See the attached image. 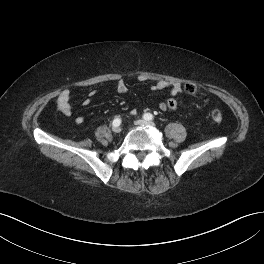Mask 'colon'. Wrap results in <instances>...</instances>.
I'll return each instance as SVG.
<instances>
[{
    "mask_svg": "<svg viewBox=\"0 0 264 264\" xmlns=\"http://www.w3.org/2000/svg\"><path fill=\"white\" fill-rule=\"evenodd\" d=\"M183 90L185 93L193 95L197 92L198 88H197L196 84L189 82V83L184 84ZM163 103L166 106V109H169L171 111H177L179 109L178 102L173 98H169ZM210 116H211V119L215 123H221L222 122V114L218 109H214L211 112Z\"/></svg>",
    "mask_w": 264,
    "mask_h": 264,
    "instance_id": "1",
    "label": "colon"
}]
</instances>
